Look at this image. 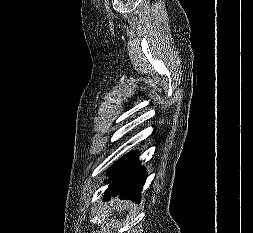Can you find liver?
<instances>
[{
	"label": "liver",
	"instance_id": "6515ba94",
	"mask_svg": "<svg viewBox=\"0 0 253 233\" xmlns=\"http://www.w3.org/2000/svg\"><path fill=\"white\" fill-rule=\"evenodd\" d=\"M126 205H127V204H126ZM126 205H125V204H122V203L119 204L120 207H126Z\"/></svg>",
	"mask_w": 253,
	"mask_h": 233
}]
</instances>
